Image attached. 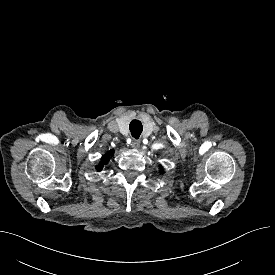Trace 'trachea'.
<instances>
[{
  "mask_svg": "<svg viewBox=\"0 0 275 275\" xmlns=\"http://www.w3.org/2000/svg\"><path fill=\"white\" fill-rule=\"evenodd\" d=\"M129 129L131 131L132 136L138 139L142 133L143 126L139 120H132L129 125Z\"/></svg>",
  "mask_w": 275,
  "mask_h": 275,
  "instance_id": "1",
  "label": "trachea"
}]
</instances>
